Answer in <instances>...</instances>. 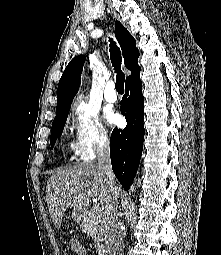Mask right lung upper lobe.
Instances as JSON below:
<instances>
[{"label":"right lung upper lobe","mask_w":221,"mask_h":255,"mask_svg":"<svg viewBox=\"0 0 221 255\" xmlns=\"http://www.w3.org/2000/svg\"><path fill=\"white\" fill-rule=\"evenodd\" d=\"M115 36L122 50L125 67L131 71V75L126 79L127 81L140 69L137 63L139 51L136 49L135 39L119 21L115 24ZM84 62L85 56L79 55L70 61L65 68L57 89L56 114L70 110L74 95L79 89Z\"/></svg>","instance_id":"1"}]
</instances>
